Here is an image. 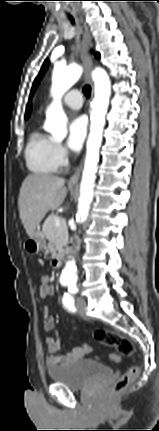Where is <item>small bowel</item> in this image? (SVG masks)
I'll use <instances>...</instances> for the list:
<instances>
[{"label":"small bowel","mask_w":159,"mask_h":431,"mask_svg":"<svg viewBox=\"0 0 159 431\" xmlns=\"http://www.w3.org/2000/svg\"><path fill=\"white\" fill-rule=\"evenodd\" d=\"M50 275L51 274L48 271L40 274V295L42 298L49 297L48 283ZM43 324L44 330L50 334L46 339L48 352L50 353V356L47 360L48 366L65 365L84 357L90 352V346L87 344H82L73 348L65 355H56V352L60 348V343L55 332V323L47 307H45L43 310Z\"/></svg>","instance_id":"small-bowel-1"}]
</instances>
